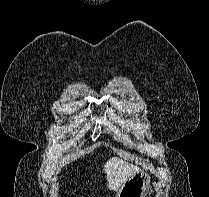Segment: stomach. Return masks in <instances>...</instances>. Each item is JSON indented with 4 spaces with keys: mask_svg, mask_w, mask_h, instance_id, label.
I'll use <instances>...</instances> for the list:
<instances>
[{
    "mask_svg": "<svg viewBox=\"0 0 209 197\" xmlns=\"http://www.w3.org/2000/svg\"><path fill=\"white\" fill-rule=\"evenodd\" d=\"M149 188L150 176L140 170L121 185L116 197H146Z\"/></svg>",
    "mask_w": 209,
    "mask_h": 197,
    "instance_id": "0dacf381",
    "label": "stomach"
}]
</instances>
